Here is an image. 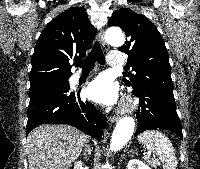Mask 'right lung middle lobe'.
I'll use <instances>...</instances> for the list:
<instances>
[{
	"mask_svg": "<svg viewBox=\"0 0 200 169\" xmlns=\"http://www.w3.org/2000/svg\"><path fill=\"white\" fill-rule=\"evenodd\" d=\"M65 83H68V79H51L30 86V90L37 87H48L53 84H65Z\"/></svg>",
	"mask_w": 200,
	"mask_h": 169,
	"instance_id": "obj_1",
	"label": "right lung middle lobe"
}]
</instances>
